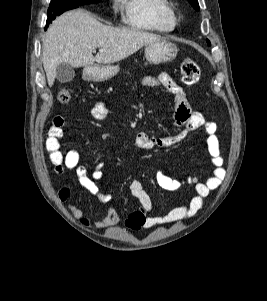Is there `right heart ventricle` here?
Here are the masks:
<instances>
[{
  "instance_id": "right-heart-ventricle-1",
  "label": "right heart ventricle",
  "mask_w": 267,
  "mask_h": 301,
  "mask_svg": "<svg viewBox=\"0 0 267 301\" xmlns=\"http://www.w3.org/2000/svg\"><path fill=\"white\" fill-rule=\"evenodd\" d=\"M123 22L135 30L169 32L176 27L170 0H116Z\"/></svg>"
}]
</instances>
